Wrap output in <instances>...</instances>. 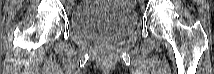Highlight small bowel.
<instances>
[{
  "label": "small bowel",
  "instance_id": "1",
  "mask_svg": "<svg viewBox=\"0 0 214 74\" xmlns=\"http://www.w3.org/2000/svg\"><path fill=\"white\" fill-rule=\"evenodd\" d=\"M124 4H125V5H127V4L129 5L130 3H129V2H127V1H125V2H124Z\"/></svg>",
  "mask_w": 214,
  "mask_h": 74
}]
</instances>
